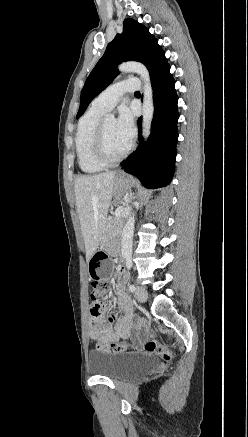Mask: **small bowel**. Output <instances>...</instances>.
Masks as SVG:
<instances>
[{"mask_svg":"<svg viewBox=\"0 0 248 437\" xmlns=\"http://www.w3.org/2000/svg\"><path fill=\"white\" fill-rule=\"evenodd\" d=\"M125 282L126 275L121 272L117 279L118 304L124 311V315H122L115 324H112L111 320L104 315L105 308L103 304L95 302L91 305L89 336L92 340L107 344L131 336L138 337L141 333H146L144 326H138L134 331H132V305L129 297L123 291V285ZM135 347L137 349L141 348V343L136 341Z\"/></svg>","mask_w":248,"mask_h":437,"instance_id":"c3829d8e","label":"small bowel"}]
</instances>
